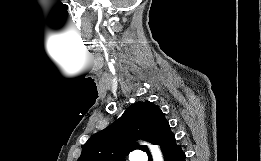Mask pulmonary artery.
Listing matches in <instances>:
<instances>
[{"label":"pulmonary artery","instance_id":"1","mask_svg":"<svg viewBox=\"0 0 261 161\" xmlns=\"http://www.w3.org/2000/svg\"><path fill=\"white\" fill-rule=\"evenodd\" d=\"M137 161H146V157L144 155H141L137 158Z\"/></svg>","mask_w":261,"mask_h":161}]
</instances>
